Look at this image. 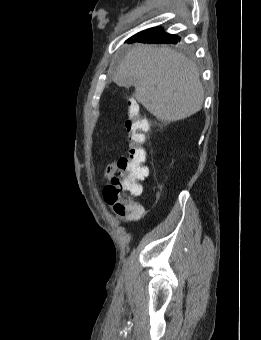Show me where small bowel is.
I'll list each match as a JSON object with an SVG mask.
<instances>
[{"mask_svg": "<svg viewBox=\"0 0 261 340\" xmlns=\"http://www.w3.org/2000/svg\"><path fill=\"white\" fill-rule=\"evenodd\" d=\"M117 161L118 160H113L112 162H110L104 172V179H111L114 177V175L116 174L117 170H118V165H117ZM143 211L137 215H126L125 219L123 222H131V221H136L140 218V216L142 215Z\"/></svg>", "mask_w": 261, "mask_h": 340, "instance_id": "c3829d8e", "label": "small bowel"}]
</instances>
